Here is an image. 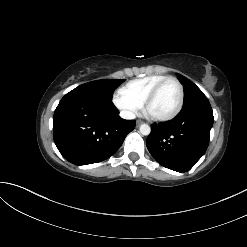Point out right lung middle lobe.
Wrapping results in <instances>:
<instances>
[{"label":"right lung middle lobe","mask_w":247,"mask_h":247,"mask_svg":"<svg viewBox=\"0 0 247 247\" xmlns=\"http://www.w3.org/2000/svg\"><path fill=\"white\" fill-rule=\"evenodd\" d=\"M125 80H96L78 86L68 94L112 101L114 90Z\"/></svg>","instance_id":"obj_1"}]
</instances>
